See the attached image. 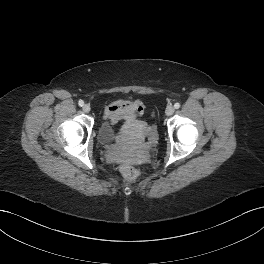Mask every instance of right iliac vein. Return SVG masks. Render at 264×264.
Masks as SVG:
<instances>
[{
  "instance_id": "obj_1",
  "label": "right iliac vein",
  "mask_w": 264,
  "mask_h": 264,
  "mask_svg": "<svg viewBox=\"0 0 264 264\" xmlns=\"http://www.w3.org/2000/svg\"><path fill=\"white\" fill-rule=\"evenodd\" d=\"M82 109H83L84 112L88 113V112H90L91 107H90V105L85 104Z\"/></svg>"
}]
</instances>
